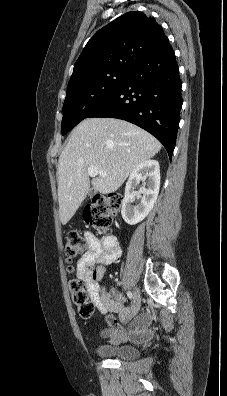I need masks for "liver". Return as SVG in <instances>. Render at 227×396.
<instances>
[{"mask_svg":"<svg viewBox=\"0 0 227 396\" xmlns=\"http://www.w3.org/2000/svg\"><path fill=\"white\" fill-rule=\"evenodd\" d=\"M161 143L138 126L115 118H86L72 131L58 161L59 215L63 225L85 199L90 180L88 167L106 172L91 183L95 191L118 190L133 169L155 156Z\"/></svg>","mask_w":227,"mask_h":396,"instance_id":"liver-1","label":"liver"}]
</instances>
